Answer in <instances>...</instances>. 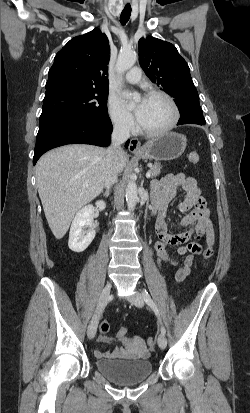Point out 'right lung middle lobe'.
Segmentation results:
<instances>
[{
    "mask_svg": "<svg viewBox=\"0 0 250 413\" xmlns=\"http://www.w3.org/2000/svg\"><path fill=\"white\" fill-rule=\"evenodd\" d=\"M108 90L63 85L45 92L39 127L63 116H108Z\"/></svg>",
    "mask_w": 250,
    "mask_h": 413,
    "instance_id": "dd1d6c3e",
    "label": "right lung middle lobe"
}]
</instances>
